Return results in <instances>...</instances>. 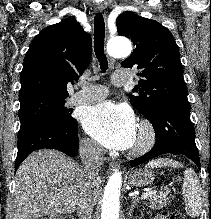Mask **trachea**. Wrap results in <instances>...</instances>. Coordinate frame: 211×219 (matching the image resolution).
I'll use <instances>...</instances> for the list:
<instances>
[{
  "mask_svg": "<svg viewBox=\"0 0 211 219\" xmlns=\"http://www.w3.org/2000/svg\"><path fill=\"white\" fill-rule=\"evenodd\" d=\"M105 23L101 13L94 17V51L100 63L102 73L108 69V61L104 53Z\"/></svg>",
  "mask_w": 211,
  "mask_h": 219,
  "instance_id": "3493384b",
  "label": "trachea"
}]
</instances>
